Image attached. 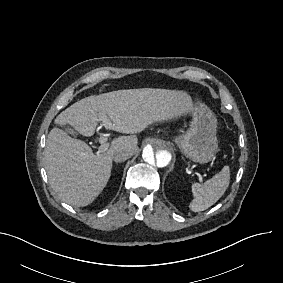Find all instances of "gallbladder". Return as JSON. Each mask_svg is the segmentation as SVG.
Here are the masks:
<instances>
[{"label":"gallbladder","mask_w":283,"mask_h":283,"mask_svg":"<svg viewBox=\"0 0 283 283\" xmlns=\"http://www.w3.org/2000/svg\"><path fill=\"white\" fill-rule=\"evenodd\" d=\"M65 131L71 135H75V131L73 129H71L70 127L65 128Z\"/></svg>","instance_id":"bac80fb5"}]
</instances>
